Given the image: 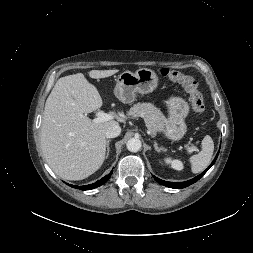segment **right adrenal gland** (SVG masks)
Listing matches in <instances>:
<instances>
[{
  "label": "right adrenal gland",
  "mask_w": 253,
  "mask_h": 253,
  "mask_svg": "<svg viewBox=\"0 0 253 253\" xmlns=\"http://www.w3.org/2000/svg\"><path fill=\"white\" fill-rule=\"evenodd\" d=\"M111 140H107L106 142V147H107V154H106V158H108L109 156V152H110V147H109V144H110Z\"/></svg>",
  "instance_id": "obj_1"
}]
</instances>
